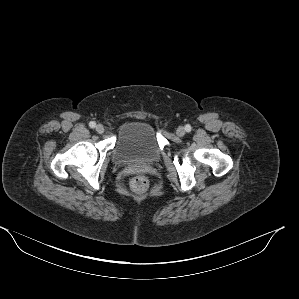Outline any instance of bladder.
I'll use <instances>...</instances> for the list:
<instances>
[{"label":"bladder","instance_id":"31cf9c89","mask_svg":"<svg viewBox=\"0 0 299 299\" xmlns=\"http://www.w3.org/2000/svg\"><path fill=\"white\" fill-rule=\"evenodd\" d=\"M160 152L153 125L146 120H133L118 134L112 159L120 164L153 162L160 157Z\"/></svg>","mask_w":299,"mask_h":299}]
</instances>
